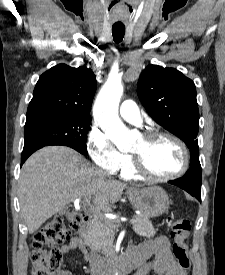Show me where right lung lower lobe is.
<instances>
[{
  "instance_id": "1",
  "label": "right lung lower lobe",
  "mask_w": 225,
  "mask_h": 275,
  "mask_svg": "<svg viewBox=\"0 0 225 275\" xmlns=\"http://www.w3.org/2000/svg\"><path fill=\"white\" fill-rule=\"evenodd\" d=\"M42 147H34V148H29V149H25L22 152V156H21V165L25 162V160L36 150L40 149Z\"/></svg>"
}]
</instances>
